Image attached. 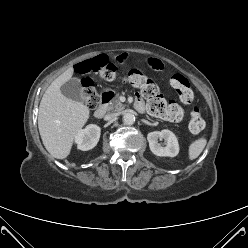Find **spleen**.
I'll use <instances>...</instances> for the list:
<instances>
[{"mask_svg": "<svg viewBox=\"0 0 248 248\" xmlns=\"http://www.w3.org/2000/svg\"><path fill=\"white\" fill-rule=\"evenodd\" d=\"M207 140L205 137H201L192 142L188 149L189 160L196 159L204 150Z\"/></svg>", "mask_w": 248, "mask_h": 248, "instance_id": "spleen-1", "label": "spleen"}]
</instances>
